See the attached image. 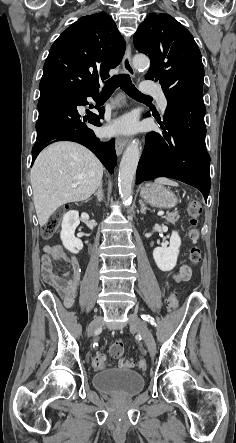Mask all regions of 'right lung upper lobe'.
<instances>
[{
	"mask_svg": "<svg viewBox=\"0 0 236 443\" xmlns=\"http://www.w3.org/2000/svg\"><path fill=\"white\" fill-rule=\"evenodd\" d=\"M125 42L105 12L81 17L53 43L39 89L83 92L98 89L99 79L121 61Z\"/></svg>",
	"mask_w": 236,
	"mask_h": 443,
	"instance_id": "1",
	"label": "right lung upper lobe"
}]
</instances>
